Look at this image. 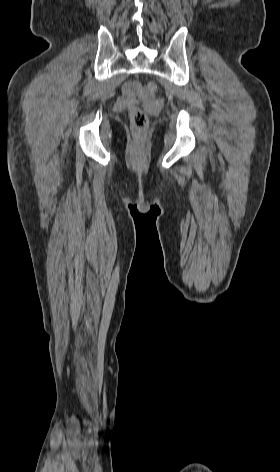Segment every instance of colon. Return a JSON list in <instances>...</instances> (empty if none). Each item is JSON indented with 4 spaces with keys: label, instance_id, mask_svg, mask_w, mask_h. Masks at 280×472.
Here are the masks:
<instances>
[{
    "label": "colon",
    "instance_id": "5ec220e1",
    "mask_svg": "<svg viewBox=\"0 0 280 472\" xmlns=\"http://www.w3.org/2000/svg\"><path fill=\"white\" fill-rule=\"evenodd\" d=\"M157 90L158 86L155 82H149L146 86V91L149 94H154ZM129 117L134 132L138 136H142L146 132L148 126V118L145 112L138 107H132L129 111Z\"/></svg>",
    "mask_w": 280,
    "mask_h": 472
}]
</instances>
